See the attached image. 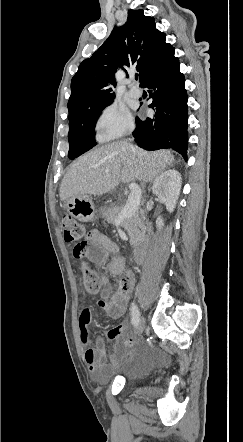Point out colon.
I'll return each mask as SVG.
<instances>
[{
  "label": "colon",
  "mask_w": 243,
  "mask_h": 442,
  "mask_svg": "<svg viewBox=\"0 0 243 442\" xmlns=\"http://www.w3.org/2000/svg\"><path fill=\"white\" fill-rule=\"evenodd\" d=\"M64 229V238L69 243L68 251L74 252L76 258L84 256L87 249V242L85 240V228L71 215L64 214L61 218ZM82 285L86 292L96 294L100 291L103 282L96 270L84 265L82 275Z\"/></svg>",
  "instance_id": "5ec220e1"
}]
</instances>
